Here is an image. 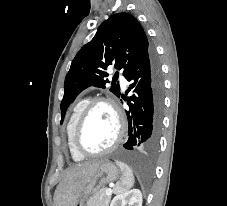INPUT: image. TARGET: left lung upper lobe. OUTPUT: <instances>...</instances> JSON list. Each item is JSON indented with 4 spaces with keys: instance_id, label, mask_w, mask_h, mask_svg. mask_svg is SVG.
<instances>
[{
    "instance_id": "1",
    "label": "left lung upper lobe",
    "mask_w": 227,
    "mask_h": 206,
    "mask_svg": "<svg viewBox=\"0 0 227 206\" xmlns=\"http://www.w3.org/2000/svg\"><path fill=\"white\" fill-rule=\"evenodd\" d=\"M150 50L145 32L132 15L117 13L104 21L94 38L80 49L71 63L60 106L61 124L68 106L82 90L89 86L105 88L109 83L104 79L108 76L109 65H114L126 76ZM111 85L110 91L119 97V85L114 82Z\"/></svg>"
}]
</instances>
